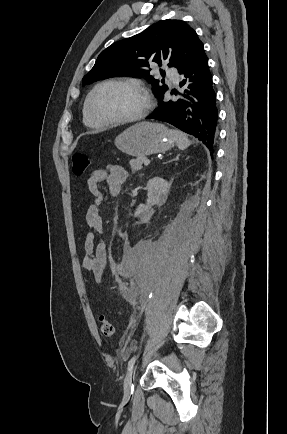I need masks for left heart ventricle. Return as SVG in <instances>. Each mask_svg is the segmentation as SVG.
Instances as JSON below:
<instances>
[{"mask_svg": "<svg viewBox=\"0 0 287 434\" xmlns=\"http://www.w3.org/2000/svg\"><path fill=\"white\" fill-rule=\"evenodd\" d=\"M145 105L143 95L136 89L110 84L100 88L92 100L94 113L102 119H123L136 115Z\"/></svg>", "mask_w": 287, "mask_h": 434, "instance_id": "obj_1", "label": "left heart ventricle"}]
</instances>
